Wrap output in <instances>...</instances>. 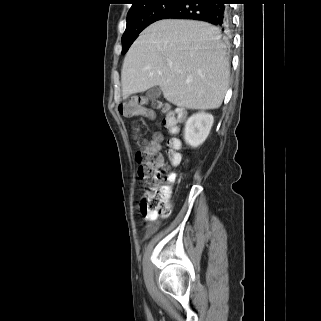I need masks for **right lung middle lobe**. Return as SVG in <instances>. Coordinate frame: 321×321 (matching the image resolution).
I'll return each instance as SVG.
<instances>
[{
    "mask_svg": "<svg viewBox=\"0 0 321 321\" xmlns=\"http://www.w3.org/2000/svg\"><path fill=\"white\" fill-rule=\"evenodd\" d=\"M179 0H152L131 7L127 15L126 30L122 36V54H125L137 36L147 26L178 4Z\"/></svg>",
    "mask_w": 321,
    "mask_h": 321,
    "instance_id": "obj_1",
    "label": "right lung middle lobe"
}]
</instances>
